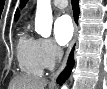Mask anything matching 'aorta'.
<instances>
[{"label": "aorta", "mask_w": 107, "mask_h": 89, "mask_svg": "<svg viewBox=\"0 0 107 89\" xmlns=\"http://www.w3.org/2000/svg\"><path fill=\"white\" fill-rule=\"evenodd\" d=\"M52 23L53 17L50 0H37L35 31L43 37H49L52 31ZM62 89H67V85L64 84Z\"/></svg>", "instance_id": "obj_1"}]
</instances>
